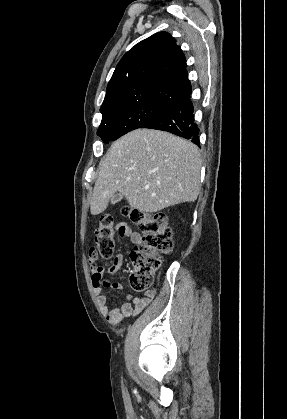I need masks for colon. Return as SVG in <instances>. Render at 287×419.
<instances>
[{
  "instance_id": "1",
  "label": "colon",
  "mask_w": 287,
  "mask_h": 419,
  "mask_svg": "<svg viewBox=\"0 0 287 419\" xmlns=\"http://www.w3.org/2000/svg\"><path fill=\"white\" fill-rule=\"evenodd\" d=\"M126 215L142 233L140 244L130 253L132 274L131 286L136 292L150 288L155 271L161 264L160 254L173 247L172 231L164 213H148L138 210L126 211ZM118 227L111 215H103L95 230V251L103 258H109L115 247Z\"/></svg>"
}]
</instances>
